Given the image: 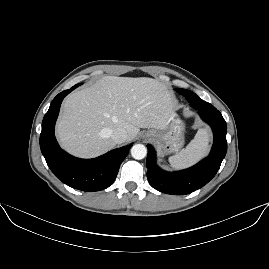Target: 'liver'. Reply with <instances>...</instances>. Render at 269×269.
Here are the masks:
<instances>
[{"label":"liver","mask_w":269,"mask_h":269,"mask_svg":"<svg viewBox=\"0 0 269 269\" xmlns=\"http://www.w3.org/2000/svg\"><path fill=\"white\" fill-rule=\"evenodd\" d=\"M175 105L172 93L155 79L106 76L65 99L57 135L68 151L96 156L115 147L116 128L127 131V142L140 128L167 130Z\"/></svg>","instance_id":"liver-1"}]
</instances>
